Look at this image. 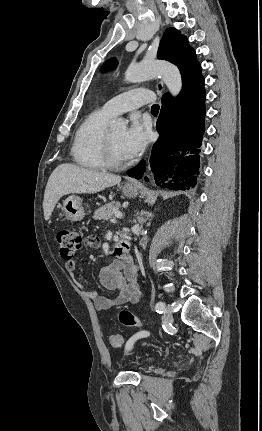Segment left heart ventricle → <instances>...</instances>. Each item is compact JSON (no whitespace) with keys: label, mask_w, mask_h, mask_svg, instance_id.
<instances>
[{"label":"left heart ventricle","mask_w":262,"mask_h":431,"mask_svg":"<svg viewBox=\"0 0 262 431\" xmlns=\"http://www.w3.org/2000/svg\"><path fill=\"white\" fill-rule=\"evenodd\" d=\"M124 133V130L110 131V138L116 157L119 160L127 161V158L122 154L120 150V142L124 136Z\"/></svg>","instance_id":"b2bd125f"}]
</instances>
